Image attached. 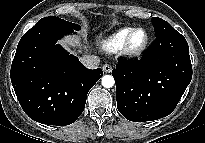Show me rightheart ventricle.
I'll list each match as a JSON object with an SVG mask.
<instances>
[{
    "label": "right heart ventricle",
    "instance_id": "1",
    "mask_svg": "<svg viewBox=\"0 0 205 143\" xmlns=\"http://www.w3.org/2000/svg\"><path fill=\"white\" fill-rule=\"evenodd\" d=\"M133 29L134 28H131V27H125V28L119 29L114 34L110 35L109 37L103 39L100 42L101 48L108 53L118 52L119 50L123 49L125 41L129 33Z\"/></svg>",
    "mask_w": 205,
    "mask_h": 143
}]
</instances>
